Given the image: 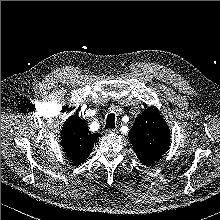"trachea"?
I'll list each match as a JSON object with an SVG mask.
<instances>
[{"instance_id": "trachea-1", "label": "trachea", "mask_w": 220, "mask_h": 220, "mask_svg": "<svg viewBox=\"0 0 220 220\" xmlns=\"http://www.w3.org/2000/svg\"><path fill=\"white\" fill-rule=\"evenodd\" d=\"M115 127V115L113 113L108 114L106 119L105 128H114Z\"/></svg>"}]
</instances>
